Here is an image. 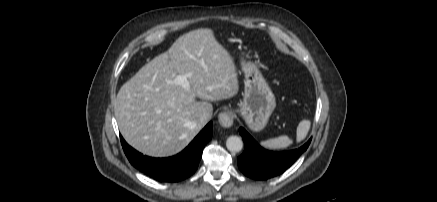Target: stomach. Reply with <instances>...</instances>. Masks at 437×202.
Wrapping results in <instances>:
<instances>
[{
  "instance_id": "stomach-1",
  "label": "stomach",
  "mask_w": 437,
  "mask_h": 202,
  "mask_svg": "<svg viewBox=\"0 0 437 202\" xmlns=\"http://www.w3.org/2000/svg\"><path fill=\"white\" fill-rule=\"evenodd\" d=\"M242 70L244 92L237 111L251 130L261 131L275 109V97L256 64L242 61Z\"/></svg>"
}]
</instances>
